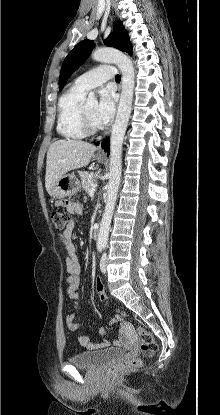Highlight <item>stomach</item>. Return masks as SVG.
Instances as JSON below:
<instances>
[{"instance_id":"stomach-1","label":"stomach","mask_w":220,"mask_h":415,"mask_svg":"<svg viewBox=\"0 0 220 415\" xmlns=\"http://www.w3.org/2000/svg\"><path fill=\"white\" fill-rule=\"evenodd\" d=\"M98 162H103L102 157H96ZM80 182L74 174H67L60 178L53 186L51 195L55 198H65L75 195L80 190Z\"/></svg>"}]
</instances>
